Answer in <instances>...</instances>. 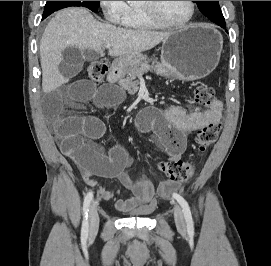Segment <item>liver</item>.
Masks as SVG:
<instances>
[{"label": "liver", "instance_id": "1", "mask_svg": "<svg viewBox=\"0 0 271 266\" xmlns=\"http://www.w3.org/2000/svg\"><path fill=\"white\" fill-rule=\"evenodd\" d=\"M170 34L101 23L85 8L61 10L46 26L40 42L43 92L49 93L68 81L59 71L62 52L67 47H77L81 53L93 50L103 55L104 46L111 44L108 54L123 57L150 50Z\"/></svg>", "mask_w": 271, "mask_h": 266}]
</instances>
